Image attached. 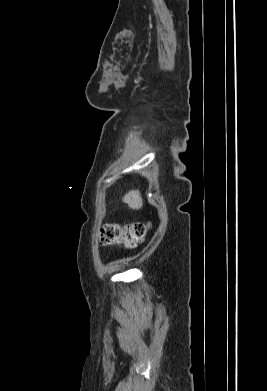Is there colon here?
Listing matches in <instances>:
<instances>
[{"label": "colon", "instance_id": "obj_1", "mask_svg": "<svg viewBox=\"0 0 267 391\" xmlns=\"http://www.w3.org/2000/svg\"><path fill=\"white\" fill-rule=\"evenodd\" d=\"M149 226L145 223L135 222L127 225L107 224L103 227L101 241L106 245H124L134 248L142 242Z\"/></svg>", "mask_w": 267, "mask_h": 391}]
</instances>
